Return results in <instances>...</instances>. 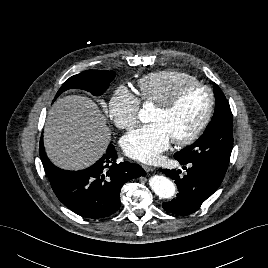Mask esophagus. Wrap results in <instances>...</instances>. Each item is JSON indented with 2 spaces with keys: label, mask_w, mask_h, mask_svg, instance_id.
Here are the masks:
<instances>
[{
  "label": "esophagus",
  "mask_w": 268,
  "mask_h": 268,
  "mask_svg": "<svg viewBox=\"0 0 268 268\" xmlns=\"http://www.w3.org/2000/svg\"><path fill=\"white\" fill-rule=\"evenodd\" d=\"M143 168L146 172H151L154 170V168L149 165H143Z\"/></svg>",
  "instance_id": "obj_1"
}]
</instances>
